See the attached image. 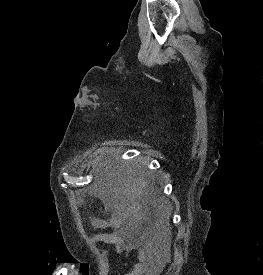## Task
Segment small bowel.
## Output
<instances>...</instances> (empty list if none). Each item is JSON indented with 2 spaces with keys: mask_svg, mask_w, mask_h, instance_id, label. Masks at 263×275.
<instances>
[{
  "mask_svg": "<svg viewBox=\"0 0 263 275\" xmlns=\"http://www.w3.org/2000/svg\"><path fill=\"white\" fill-rule=\"evenodd\" d=\"M92 226L95 228H105L108 223L101 219H95L92 221ZM91 241L113 243L117 247L118 252L137 250V261L135 262L132 270L125 275H154L158 270L148 257L146 250L137 245L133 238L125 233H98L92 236Z\"/></svg>",
  "mask_w": 263,
  "mask_h": 275,
  "instance_id": "small-bowel-1",
  "label": "small bowel"
}]
</instances>
